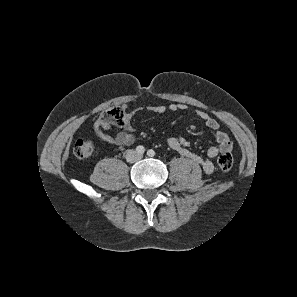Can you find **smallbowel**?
Wrapping results in <instances>:
<instances>
[{
	"instance_id": "small-bowel-1",
	"label": "small bowel",
	"mask_w": 297,
	"mask_h": 297,
	"mask_svg": "<svg viewBox=\"0 0 297 297\" xmlns=\"http://www.w3.org/2000/svg\"><path fill=\"white\" fill-rule=\"evenodd\" d=\"M188 109V106L185 104H170L168 106L156 105L149 107V110L154 113H165L166 111H185ZM195 115L203 120L206 126L215 132L216 145L211 146L206 153V157L202 156L199 153H196L190 149L189 142L182 137H171L168 139V146L177 152L179 155L189 158L195 164L199 165L205 174H212L214 166L212 159H214L218 154L230 152L232 150V142L224 131L220 130L219 122L212 117L206 111L196 109L194 111ZM122 131L112 136L106 133L104 130L107 127L101 125L98 122L94 124V130L96 135L104 142L114 144L117 146H130L135 142L134 136V127L131 123V114H126L125 121L121 125Z\"/></svg>"
}]
</instances>
